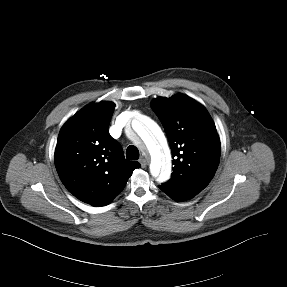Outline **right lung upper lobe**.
Listing matches in <instances>:
<instances>
[{"label":"right lung upper lobe","instance_id":"1","mask_svg":"<svg viewBox=\"0 0 287 287\" xmlns=\"http://www.w3.org/2000/svg\"><path fill=\"white\" fill-rule=\"evenodd\" d=\"M114 107L100 102L77 112L62 126L54 154L67 190L96 207L108 205L140 167L124 158L120 144L108 132Z\"/></svg>","mask_w":287,"mask_h":287}]
</instances>
